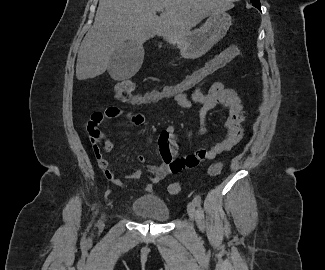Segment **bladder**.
Returning <instances> with one entry per match:
<instances>
[{
	"label": "bladder",
	"instance_id": "obj_1",
	"mask_svg": "<svg viewBox=\"0 0 325 270\" xmlns=\"http://www.w3.org/2000/svg\"><path fill=\"white\" fill-rule=\"evenodd\" d=\"M134 215L146 220L166 222L171 212L166 202L157 194L142 195L135 198L131 205Z\"/></svg>",
	"mask_w": 325,
	"mask_h": 270
}]
</instances>
